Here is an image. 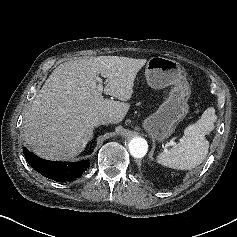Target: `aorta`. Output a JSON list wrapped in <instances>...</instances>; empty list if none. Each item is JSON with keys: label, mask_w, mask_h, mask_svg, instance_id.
<instances>
[{"label": "aorta", "mask_w": 237, "mask_h": 237, "mask_svg": "<svg viewBox=\"0 0 237 237\" xmlns=\"http://www.w3.org/2000/svg\"><path fill=\"white\" fill-rule=\"evenodd\" d=\"M128 148L132 156L142 158L148 150L147 141L142 137L132 138L128 143Z\"/></svg>", "instance_id": "obj_1"}]
</instances>
